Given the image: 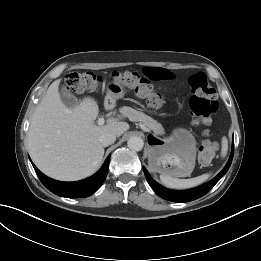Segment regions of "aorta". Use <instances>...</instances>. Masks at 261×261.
<instances>
[{
  "instance_id": "aorta-1",
  "label": "aorta",
  "mask_w": 261,
  "mask_h": 261,
  "mask_svg": "<svg viewBox=\"0 0 261 261\" xmlns=\"http://www.w3.org/2000/svg\"><path fill=\"white\" fill-rule=\"evenodd\" d=\"M127 146L132 151H141L144 146V142L140 137H130Z\"/></svg>"
}]
</instances>
